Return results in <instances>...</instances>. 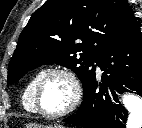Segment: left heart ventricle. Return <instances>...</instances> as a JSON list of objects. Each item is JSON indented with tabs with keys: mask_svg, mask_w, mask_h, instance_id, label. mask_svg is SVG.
<instances>
[{
	"mask_svg": "<svg viewBox=\"0 0 142 128\" xmlns=\"http://www.w3.org/2000/svg\"><path fill=\"white\" fill-rule=\"evenodd\" d=\"M72 98V87L68 79L59 74L47 77L40 92V105L49 113L64 110Z\"/></svg>",
	"mask_w": 142,
	"mask_h": 128,
	"instance_id": "left-heart-ventricle-1",
	"label": "left heart ventricle"
}]
</instances>
